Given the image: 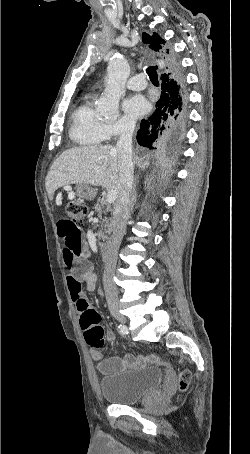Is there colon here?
I'll return each mask as SVG.
<instances>
[{
    "mask_svg": "<svg viewBox=\"0 0 250 454\" xmlns=\"http://www.w3.org/2000/svg\"><path fill=\"white\" fill-rule=\"evenodd\" d=\"M68 220L75 226L82 225L87 213L88 207L81 201H71L66 206ZM101 316L93 307L85 308L80 314V327L83 330L85 341L93 348L100 349L104 346L105 332L100 324ZM190 382V373L182 372L179 376V385L181 389H186Z\"/></svg>",
    "mask_w": 250,
    "mask_h": 454,
    "instance_id": "colon-1",
    "label": "colon"
}]
</instances>
